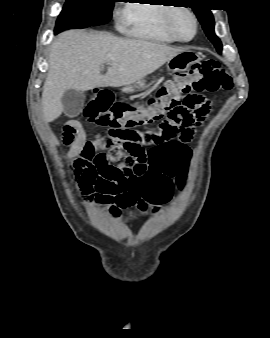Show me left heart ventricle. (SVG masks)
I'll return each mask as SVG.
<instances>
[{
	"label": "left heart ventricle",
	"mask_w": 270,
	"mask_h": 338,
	"mask_svg": "<svg viewBox=\"0 0 270 338\" xmlns=\"http://www.w3.org/2000/svg\"><path fill=\"white\" fill-rule=\"evenodd\" d=\"M175 28L182 38H189L193 34V21L187 14H179L176 17Z\"/></svg>",
	"instance_id": "obj_1"
}]
</instances>
